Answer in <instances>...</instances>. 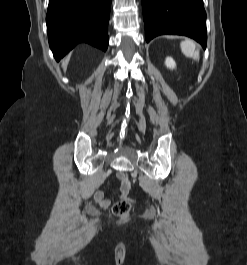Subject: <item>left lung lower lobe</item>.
Listing matches in <instances>:
<instances>
[{
    "label": "left lung lower lobe",
    "mask_w": 247,
    "mask_h": 265,
    "mask_svg": "<svg viewBox=\"0 0 247 265\" xmlns=\"http://www.w3.org/2000/svg\"><path fill=\"white\" fill-rule=\"evenodd\" d=\"M145 37L184 35L206 48V12L202 0H142Z\"/></svg>",
    "instance_id": "0a47b994"
}]
</instances>
